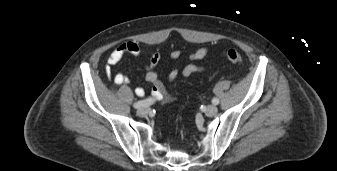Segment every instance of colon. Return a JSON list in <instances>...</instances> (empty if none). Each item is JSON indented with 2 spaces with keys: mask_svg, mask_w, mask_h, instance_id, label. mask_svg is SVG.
Here are the masks:
<instances>
[{
  "mask_svg": "<svg viewBox=\"0 0 337 171\" xmlns=\"http://www.w3.org/2000/svg\"><path fill=\"white\" fill-rule=\"evenodd\" d=\"M226 59L234 64H241L243 62L242 54L234 49H228L224 52Z\"/></svg>",
  "mask_w": 337,
  "mask_h": 171,
  "instance_id": "5ec220e1",
  "label": "colon"
}]
</instances>
